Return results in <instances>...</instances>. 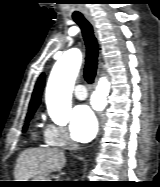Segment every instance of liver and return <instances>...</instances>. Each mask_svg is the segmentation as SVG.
I'll return each instance as SVG.
<instances>
[{"instance_id": "obj_1", "label": "liver", "mask_w": 160, "mask_h": 187, "mask_svg": "<svg viewBox=\"0 0 160 187\" xmlns=\"http://www.w3.org/2000/svg\"><path fill=\"white\" fill-rule=\"evenodd\" d=\"M65 155L59 149H28L21 152L15 167L16 181H28L61 170Z\"/></svg>"}]
</instances>
